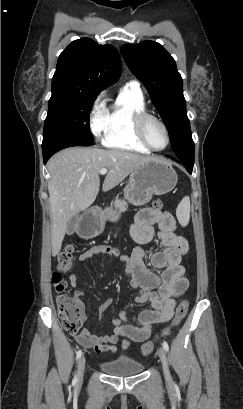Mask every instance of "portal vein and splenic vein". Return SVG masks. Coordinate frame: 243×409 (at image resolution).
Segmentation results:
<instances>
[{
    "instance_id": "18ae733b",
    "label": "portal vein and splenic vein",
    "mask_w": 243,
    "mask_h": 409,
    "mask_svg": "<svg viewBox=\"0 0 243 409\" xmlns=\"http://www.w3.org/2000/svg\"><path fill=\"white\" fill-rule=\"evenodd\" d=\"M107 171L108 170L106 168H102V169H100L99 173H100V175H104V174L107 173Z\"/></svg>"
}]
</instances>
